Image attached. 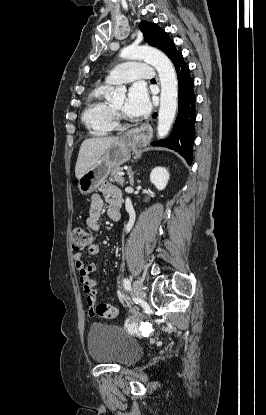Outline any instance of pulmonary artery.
Instances as JSON below:
<instances>
[{
  "label": "pulmonary artery",
  "instance_id": "1",
  "mask_svg": "<svg viewBox=\"0 0 266 415\" xmlns=\"http://www.w3.org/2000/svg\"><path fill=\"white\" fill-rule=\"evenodd\" d=\"M155 77L152 66L141 62H126L110 72L106 78L107 84L127 83L137 79L151 80Z\"/></svg>",
  "mask_w": 266,
  "mask_h": 415
}]
</instances>
